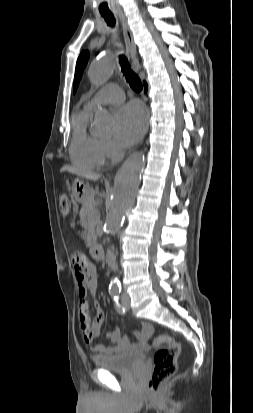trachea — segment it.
<instances>
[{"mask_svg":"<svg viewBox=\"0 0 253 413\" xmlns=\"http://www.w3.org/2000/svg\"><path fill=\"white\" fill-rule=\"evenodd\" d=\"M103 18L105 19L107 25L109 26H114L115 25V18L112 14H102ZM120 65H121V70L123 74L125 75V78L127 82L129 83L130 87L136 91L140 92L143 88L141 80L139 77L131 70V67L123 55L120 56Z\"/></svg>","mask_w":253,"mask_h":413,"instance_id":"1","label":"trachea"}]
</instances>
